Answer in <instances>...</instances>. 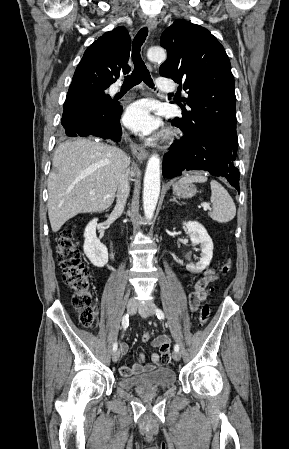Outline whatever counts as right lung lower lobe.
Here are the masks:
<instances>
[{
  "mask_svg": "<svg viewBox=\"0 0 289 449\" xmlns=\"http://www.w3.org/2000/svg\"><path fill=\"white\" fill-rule=\"evenodd\" d=\"M101 90L102 88L92 82L77 79L72 81L63 106L61 123L65 129L64 134L72 137L93 135L115 142L121 140L122 108L118 102L111 100L105 108L96 109Z\"/></svg>",
  "mask_w": 289,
  "mask_h": 449,
  "instance_id": "obj_1",
  "label": "right lung lower lobe"
}]
</instances>
